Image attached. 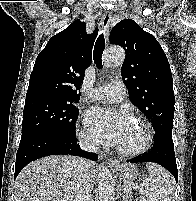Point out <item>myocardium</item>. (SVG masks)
Segmentation results:
<instances>
[{"instance_id": "myocardium-1", "label": "myocardium", "mask_w": 196, "mask_h": 201, "mask_svg": "<svg viewBox=\"0 0 196 201\" xmlns=\"http://www.w3.org/2000/svg\"><path fill=\"white\" fill-rule=\"evenodd\" d=\"M135 122L138 123L143 128L144 140L138 148L133 149V150H124V149L116 146L115 147L116 151L124 157L139 156V155L145 153L147 150H149V148L151 147V145L153 143L154 132H153V128H152L151 124L141 118L136 119Z\"/></svg>"}]
</instances>
